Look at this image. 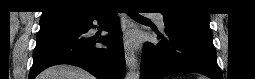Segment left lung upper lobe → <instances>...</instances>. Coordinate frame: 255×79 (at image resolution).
Segmentation results:
<instances>
[{
  "instance_id": "obj_1",
  "label": "left lung upper lobe",
  "mask_w": 255,
  "mask_h": 79,
  "mask_svg": "<svg viewBox=\"0 0 255 79\" xmlns=\"http://www.w3.org/2000/svg\"><path fill=\"white\" fill-rule=\"evenodd\" d=\"M159 8L164 16L165 28L177 26L209 27V14L181 10V3L175 0L159 1Z\"/></svg>"
}]
</instances>
